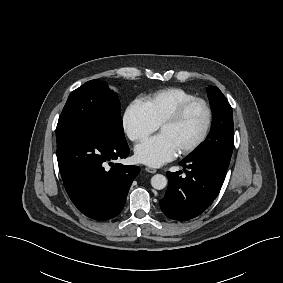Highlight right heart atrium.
Listing matches in <instances>:
<instances>
[{
    "instance_id": "right-heart-atrium-1",
    "label": "right heart atrium",
    "mask_w": 283,
    "mask_h": 283,
    "mask_svg": "<svg viewBox=\"0 0 283 283\" xmlns=\"http://www.w3.org/2000/svg\"><path fill=\"white\" fill-rule=\"evenodd\" d=\"M122 125L127 137L133 142L145 139L158 128L144 103L139 99H135L127 105L122 118Z\"/></svg>"
}]
</instances>
